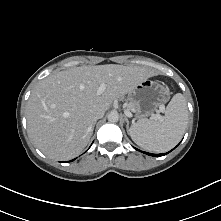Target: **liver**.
Here are the masks:
<instances>
[{"label":"liver","instance_id":"obj_1","mask_svg":"<svg viewBox=\"0 0 221 221\" xmlns=\"http://www.w3.org/2000/svg\"><path fill=\"white\" fill-rule=\"evenodd\" d=\"M156 73L141 66H81L41 80L27 102L28 133L49 158L78 156L92 136V116L107 111L115 99L130 93ZM104 83L106 90L97 94Z\"/></svg>","mask_w":221,"mask_h":221}]
</instances>
